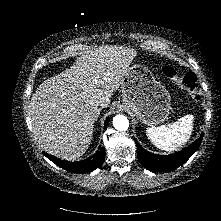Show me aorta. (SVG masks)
Segmentation results:
<instances>
[{"label":"aorta","mask_w":221,"mask_h":221,"mask_svg":"<svg viewBox=\"0 0 221 221\" xmlns=\"http://www.w3.org/2000/svg\"><path fill=\"white\" fill-rule=\"evenodd\" d=\"M113 126L119 131H126L129 127V121L124 115H116L113 118Z\"/></svg>","instance_id":"1"}]
</instances>
